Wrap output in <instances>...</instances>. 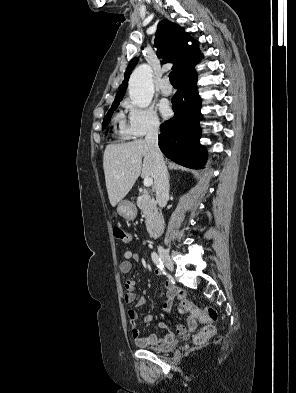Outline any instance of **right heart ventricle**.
Instances as JSON below:
<instances>
[{"label":"right heart ventricle","instance_id":"1","mask_svg":"<svg viewBox=\"0 0 296 393\" xmlns=\"http://www.w3.org/2000/svg\"><path fill=\"white\" fill-rule=\"evenodd\" d=\"M116 120H117L118 125H119L118 134L122 138H128L130 136V134H129V131H128V127L124 123V116H123V114L119 113L117 115V117H116Z\"/></svg>","mask_w":296,"mask_h":393}]
</instances>
